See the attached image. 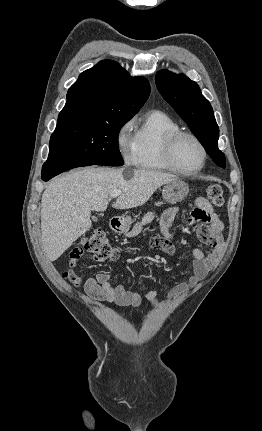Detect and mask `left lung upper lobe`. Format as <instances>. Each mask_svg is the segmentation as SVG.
Listing matches in <instances>:
<instances>
[{
    "instance_id": "obj_1",
    "label": "left lung upper lobe",
    "mask_w": 262,
    "mask_h": 431,
    "mask_svg": "<svg viewBox=\"0 0 262 431\" xmlns=\"http://www.w3.org/2000/svg\"><path fill=\"white\" fill-rule=\"evenodd\" d=\"M155 80L163 98L188 124L212 160L224 168L225 157L218 148L219 127L211 104L202 95L197 83L168 70L159 71Z\"/></svg>"
}]
</instances>
